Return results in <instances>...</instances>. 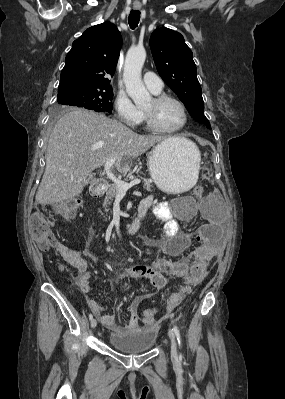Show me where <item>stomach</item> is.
Here are the masks:
<instances>
[{
	"label": "stomach",
	"instance_id": "0dacf381",
	"mask_svg": "<svg viewBox=\"0 0 285 399\" xmlns=\"http://www.w3.org/2000/svg\"><path fill=\"white\" fill-rule=\"evenodd\" d=\"M201 155L190 140L176 137L157 144L148 154V169L156 186L169 194H180L195 185Z\"/></svg>",
	"mask_w": 285,
	"mask_h": 399
}]
</instances>
